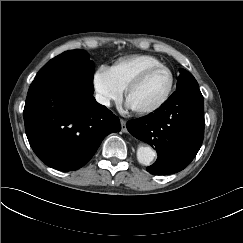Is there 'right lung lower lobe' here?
<instances>
[{
    "mask_svg": "<svg viewBox=\"0 0 243 243\" xmlns=\"http://www.w3.org/2000/svg\"><path fill=\"white\" fill-rule=\"evenodd\" d=\"M93 85L34 79L24 107L31 148L49 167L73 171L84 166L102 140L121 130L120 121L93 97Z\"/></svg>",
    "mask_w": 243,
    "mask_h": 243,
    "instance_id": "1",
    "label": "right lung lower lobe"
}]
</instances>
